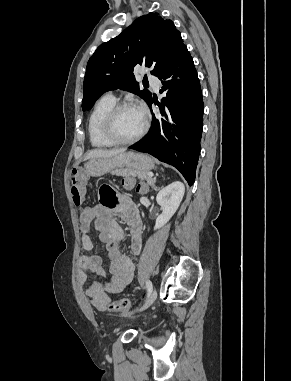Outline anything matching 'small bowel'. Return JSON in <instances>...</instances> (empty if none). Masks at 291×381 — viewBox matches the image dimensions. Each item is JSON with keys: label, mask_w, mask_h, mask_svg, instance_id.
I'll list each match as a JSON object with an SVG mask.
<instances>
[{"label": "small bowel", "mask_w": 291, "mask_h": 381, "mask_svg": "<svg viewBox=\"0 0 291 381\" xmlns=\"http://www.w3.org/2000/svg\"><path fill=\"white\" fill-rule=\"evenodd\" d=\"M101 199L117 200L116 193L110 187L100 191ZM117 210L129 228L130 248L134 254H139L142 248L141 221L135 206L123 196L120 204L105 205L102 201L95 206L85 207L80 216L81 243L83 248L90 252L93 250V241L89 235L90 224L95 222L100 240L106 245V257L109 260L110 280H93L86 289L92 306L104 311L110 296L127 287L133 280L134 262L123 254L119 244L123 239L122 227L112 219V212ZM79 280L84 283L88 275L105 276L102 259L95 254L83 255L79 258Z\"/></svg>", "instance_id": "obj_1"}]
</instances>
